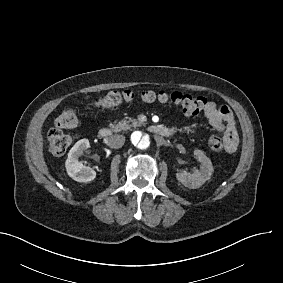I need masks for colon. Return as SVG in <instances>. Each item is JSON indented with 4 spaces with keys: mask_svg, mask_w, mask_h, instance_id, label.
I'll return each instance as SVG.
<instances>
[{
    "mask_svg": "<svg viewBox=\"0 0 283 283\" xmlns=\"http://www.w3.org/2000/svg\"><path fill=\"white\" fill-rule=\"evenodd\" d=\"M135 94L132 91H111L104 97L94 100L93 105L97 110L116 108L122 103L130 104L134 101ZM141 100L146 103L158 102L161 104L173 103L186 116L199 115L207 104L204 96H193L185 93L164 91H144ZM79 125V117L74 107L67 106L59 114L56 120V128L52 129L47 136V150L51 154H63L72 144L71 136L64 131L67 128H75ZM210 149L221 152L225 145L221 133L214 134L209 140Z\"/></svg>",
    "mask_w": 283,
    "mask_h": 283,
    "instance_id": "1",
    "label": "colon"
}]
</instances>
